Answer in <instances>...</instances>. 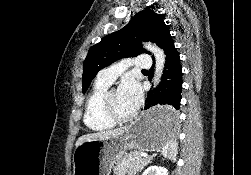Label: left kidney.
<instances>
[{
  "instance_id": "1",
  "label": "left kidney",
  "mask_w": 251,
  "mask_h": 175,
  "mask_svg": "<svg viewBox=\"0 0 251 175\" xmlns=\"http://www.w3.org/2000/svg\"><path fill=\"white\" fill-rule=\"evenodd\" d=\"M142 175H168L166 167H161V165H150Z\"/></svg>"
}]
</instances>
